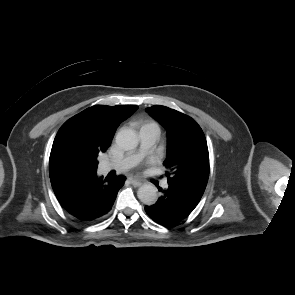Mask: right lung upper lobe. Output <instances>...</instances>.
<instances>
[{
	"label": "right lung upper lobe",
	"instance_id": "obj_1",
	"mask_svg": "<svg viewBox=\"0 0 295 295\" xmlns=\"http://www.w3.org/2000/svg\"><path fill=\"white\" fill-rule=\"evenodd\" d=\"M138 109L135 105H95L67 120L59 129L50 153V178L91 174L120 123Z\"/></svg>",
	"mask_w": 295,
	"mask_h": 295
}]
</instances>
